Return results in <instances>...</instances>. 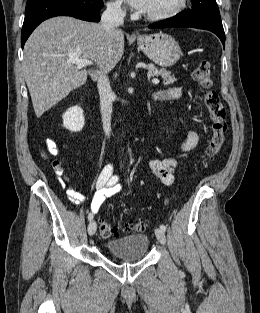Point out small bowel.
<instances>
[{
	"label": "small bowel",
	"instance_id": "small-bowel-1",
	"mask_svg": "<svg viewBox=\"0 0 260 313\" xmlns=\"http://www.w3.org/2000/svg\"><path fill=\"white\" fill-rule=\"evenodd\" d=\"M180 96L181 89L179 87H174L166 91L157 92L155 94V99L172 101L178 99ZM197 140V134L191 131L188 134L187 139L181 145V151L192 149L196 145ZM56 152L57 149L52 153ZM179 163L180 161L177 158L160 154L157 158L150 161L149 167L160 183L163 185H170L174 181V170ZM113 169V164H108L102 169L98 176L96 181L97 192L91 202V210L93 213H97L108 198L119 194L123 189L119 182V177L113 174ZM57 174L59 176L60 184L66 186L69 183V178L60 164L57 165ZM67 194L68 198L74 204H81L87 199L84 194L75 191L72 186L67 188Z\"/></svg>",
	"mask_w": 260,
	"mask_h": 313
}]
</instances>
